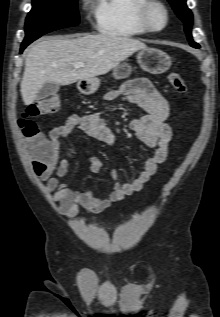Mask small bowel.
<instances>
[{"label": "small bowel", "mask_w": 220, "mask_h": 317, "mask_svg": "<svg viewBox=\"0 0 220 317\" xmlns=\"http://www.w3.org/2000/svg\"><path fill=\"white\" fill-rule=\"evenodd\" d=\"M119 95L124 101L136 104L145 111V115L132 121L131 128L137 139L151 148L153 153L144 161L138 176L130 182L121 183L119 174L112 171L110 176L114 188L107 197L100 198L92 190H73L67 184L60 182L72 165L70 159H60L61 140L67 139L77 130L94 140L115 146L119 136L95 113L71 115L63 125L53 128L49 132L53 146L51 162L43 169L35 168V171L39 179L45 182L48 192L53 193V200L60 204V212L68 218L76 216L80 207L90 214L100 213L113 203L142 190L168 156L169 144L173 136L171 128L166 124L169 116L168 101L146 78L125 83L119 90L109 92L106 99L111 100ZM89 162L93 173H98L104 166L103 161L95 156H90Z\"/></svg>", "instance_id": "1"}]
</instances>
